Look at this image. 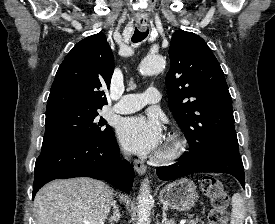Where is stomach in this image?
<instances>
[{
    "instance_id": "obj_1",
    "label": "stomach",
    "mask_w": 275,
    "mask_h": 224,
    "mask_svg": "<svg viewBox=\"0 0 275 224\" xmlns=\"http://www.w3.org/2000/svg\"><path fill=\"white\" fill-rule=\"evenodd\" d=\"M197 199L196 186L187 178L167 184L159 193V200L164 206L178 211L190 210Z\"/></svg>"
}]
</instances>
